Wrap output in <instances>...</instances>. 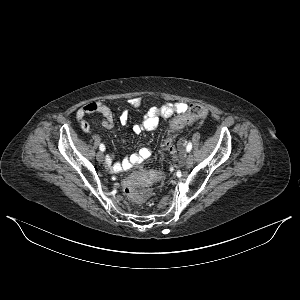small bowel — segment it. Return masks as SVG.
I'll use <instances>...</instances> for the list:
<instances>
[{"mask_svg":"<svg viewBox=\"0 0 300 300\" xmlns=\"http://www.w3.org/2000/svg\"><path fill=\"white\" fill-rule=\"evenodd\" d=\"M132 107H139L142 104L140 97H135L129 100ZM187 109V104L184 102L165 103L159 107L150 108L145 114L141 122L133 125L134 133L140 134L141 132L154 131L159 127L161 119H167L175 114L182 113ZM97 113L103 117V125L106 128L114 126V115L112 110L101 102H89L80 107L76 112V119L81 129L87 133H91L89 122L85 119L86 115ZM129 121V110L122 109L119 114V122L126 125ZM151 157L150 149L143 147L137 153L126 156L122 161H114V157L109 155L106 158L105 164L109 170L119 173L130 169L133 166L140 165Z\"/></svg>","mask_w":300,"mask_h":300,"instance_id":"small-bowel-1","label":"small bowel"}]
</instances>
